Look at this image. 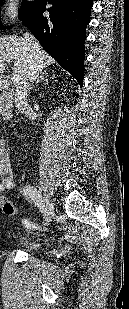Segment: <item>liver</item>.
<instances>
[{
    "mask_svg": "<svg viewBox=\"0 0 129 309\" xmlns=\"http://www.w3.org/2000/svg\"><path fill=\"white\" fill-rule=\"evenodd\" d=\"M31 52L28 50L25 39L19 37L0 38V72L7 67L8 62L14 59L13 75L18 80L24 78L31 66ZM41 67L49 64V58L40 49Z\"/></svg>",
    "mask_w": 129,
    "mask_h": 309,
    "instance_id": "liver-1",
    "label": "liver"
}]
</instances>
